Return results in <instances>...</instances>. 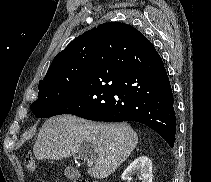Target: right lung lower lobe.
I'll use <instances>...</instances> for the list:
<instances>
[{
  "label": "right lung lower lobe",
  "mask_w": 211,
  "mask_h": 182,
  "mask_svg": "<svg viewBox=\"0 0 211 182\" xmlns=\"http://www.w3.org/2000/svg\"><path fill=\"white\" fill-rule=\"evenodd\" d=\"M58 114L139 122L174 146V99L163 61L151 42L135 44L122 25L102 28L83 88Z\"/></svg>",
  "instance_id": "98d812e1"
}]
</instances>
